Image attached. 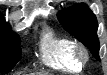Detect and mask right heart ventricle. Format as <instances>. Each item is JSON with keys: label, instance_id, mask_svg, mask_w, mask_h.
<instances>
[{"label": "right heart ventricle", "instance_id": "e07e8e85", "mask_svg": "<svg viewBox=\"0 0 107 75\" xmlns=\"http://www.w3.org/2000/svg\"><path fill=\"white\" fill-rule=\"evenodd\" d=\"M75 42L54 31H47L40 41L41 63L57 70L80 71L82 64L78 62L74 55Z\"/></svg>", "mask_w": 107, "mask_h": 75}]
</instances>
